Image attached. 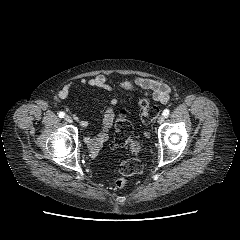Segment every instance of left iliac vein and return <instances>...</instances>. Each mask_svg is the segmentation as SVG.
Returning a JSON list of instances; mask_svg holds the SVG:
<instances>
[{
	"instance_id": "obj_1",
	"label": "left iliac vein",
	"mask_w": 240,
	"mask_h": 240,
	"mask_svg": "<svg viewBox=\"0 0 240 240\" xmlns=\"http://www.w3.org/2000/svg\"><path fill=\"white\" fill-rule=\"evenodd\" d=\"M164 120H165V116H164V115H160V116L158 117L157 122H158V124H162V123L164 122Z\"/></svg>"
}]
</instances>
